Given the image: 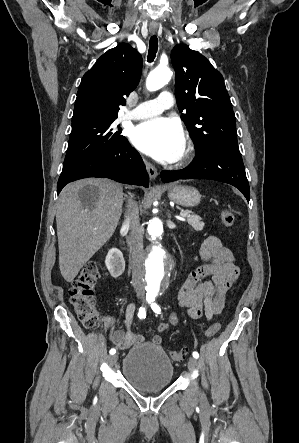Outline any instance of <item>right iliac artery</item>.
Here are the masks:
<instances>
[{
  "label": "right iliac artery",
  "instance_id": "1",
  "mask_svg": "<svg viewBox=\"0 0 299 443\" xmlns=\"http://www.w3.org/2000/svg\"><path fill=\"white\" fill-rule=\"evenodd\" d=\"M138 317H139L140 319H144V318H146V310H145V307H140V308H139ZM109 353H110L111 355H113V354L116 353V350H115L114 348H112V349L109 351Z\"/></svg>",
  "mask_w": 299,
  "mask_h": 443
}]
</instances>
